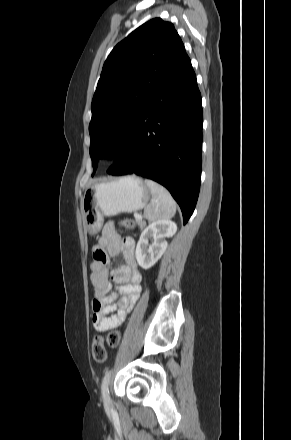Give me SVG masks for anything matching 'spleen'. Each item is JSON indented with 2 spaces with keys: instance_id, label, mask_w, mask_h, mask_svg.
Wrapping results in <instances>:
<instances>
[{
  "instance_id": "obj_1",
  "label": "spleen",
  "mask_w": 291,
  "mask_h": 440,
  "mask_svg": "<svg viewBox=\"0 0 291 440\" xmlns=\"http://www.w3.org/2000/svg\"><path fill=\"white\" fill-rule=\"evenodd\" d=\"M145 184L152 194V200L144 210L145 217L149 221L172 218L176 213V203L169 191L149 179H145Z\"/></svg>"
}]
</instances>
